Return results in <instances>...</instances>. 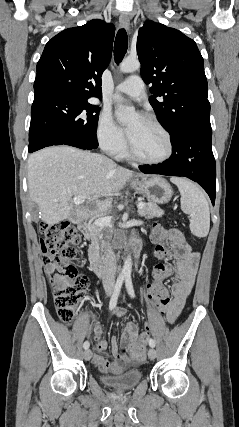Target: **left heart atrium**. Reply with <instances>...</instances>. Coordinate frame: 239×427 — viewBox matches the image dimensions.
Listing matches in <instances>:
<instances>
[{"instance_id": "1", "label": "left heart atrium", "mask_w": 239, "mask_h": 427, "mask_svg": "<svg viewBox=\"0 0 239 427\" xmlns=\"http://www.w3.org/2000/svg\"><path fill=\"white\" fill-rule=\"evenodd\" d=\"M127 134H128V136H129V130L127 131Z\"/></svg>"}]
</instances>
